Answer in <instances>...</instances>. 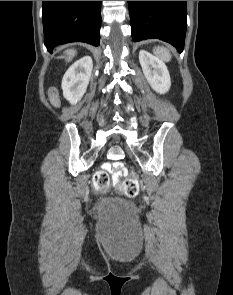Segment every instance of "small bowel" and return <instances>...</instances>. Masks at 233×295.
<instances>
[{
  "instance_id": "obj_1",
  "label": "small bowel",
  "mask_w": 233,
  "mask_h": 295,
  "mask_svg": "<svg viewBox=\"0 0 233 295\" xmlns=\"http://www.w3.org/2000/svg\"><path fill=\"white\" fill-rule=\"evenodd\" d=\"M104 169L111 172L115 183L118 182L124 174V166L121 162L106 163Z\"/></svg>"
}]
</instances>
